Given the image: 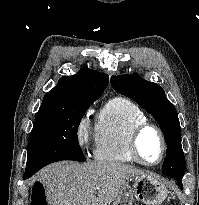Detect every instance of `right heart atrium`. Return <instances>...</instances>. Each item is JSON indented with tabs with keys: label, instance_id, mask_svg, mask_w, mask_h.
Listing matches in <instances>:
<instances>
[{
	"label": "right heart atrium",
	"instance_id": "1",
	"mask_svg": "<svg viewBox=\"0 0 199 205\" xmlns=\"http://www.w3.org/2000/svg\"><path fill=\"white\" fill-rule=\"evenodd\" d=\"M76 137L78 144L82 148L87 147L95 138V132L92 130L88 116H84L80 120L76 131Z\"/></svg>",
	"mask_w": 199,
	"mask_h": 205
}]
</instances>
